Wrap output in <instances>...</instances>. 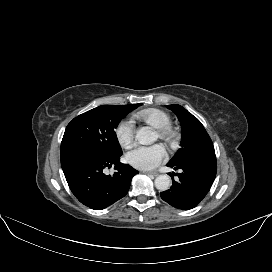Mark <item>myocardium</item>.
Segmentation results:
<instances>
[{
	"label": "myocardium",
	"mask_w": 272,
	"mask_h": 272,
	"mask_svg": "<svg viewBox=\"0 0 272 272\" xmlns=\"http://www.w3.org/2000/svg\"><path fill=\"white\" fill-rule=\"evenodd\" d=\"M157 136L166 145H174L179 137L178 131L171 124L157 129Z\"/></svg>",
	"instance_id": "obj_1"
}]
</instances>
